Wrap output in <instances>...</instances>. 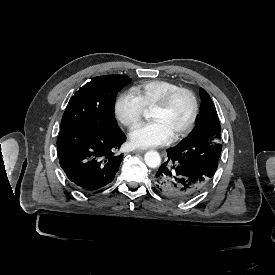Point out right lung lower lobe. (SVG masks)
I'll list each match as a JSON object with an SVG mask.
<instances>
[{"instance_id": "right-lung-lower-lobe-1", "label": "right lung lower lobe", "mask_w": 275, "mask_h": 275, "mask_svg": "<svg viewBox=\"0 0 275 275\" xmlns=\"http://www.w3.org/2000/svg\"><path fill=\"white\" fill-rule=\"evenodd\" d=\"M126 136L119 128L99 132L86 125L61 126L57 139L60 165L80 191H96L115 177L123 154H116Z\"/></svg>"}]
</instances>
